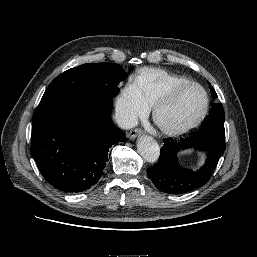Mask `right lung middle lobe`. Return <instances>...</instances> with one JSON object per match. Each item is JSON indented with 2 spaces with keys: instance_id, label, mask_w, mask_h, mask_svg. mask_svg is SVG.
I'll list each match as a JSON object with an SVG mask.
<instances>
[{
  "instance_id": "dd1d6c3e",
  "label": "right lung middle lobe",
  "mask_w": 257,
  "mask_h": 257,
  "mask_svg": "<svg viewBox=\"0 0 257 257\" xmlns=\"http://www.w3.org/2000/svg\"><path fill=\"white\" fill-rule=\"evenodd\" d=\"M125 71L115 63H87L71 68L56 77L41 101L64 95H98L113 98Z\"/></svg>"
}]
</instances>
